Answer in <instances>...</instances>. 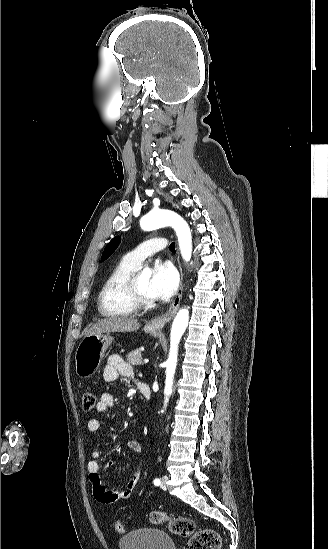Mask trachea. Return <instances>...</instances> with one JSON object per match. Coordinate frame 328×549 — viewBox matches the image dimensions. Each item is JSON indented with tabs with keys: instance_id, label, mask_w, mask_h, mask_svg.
<instances>
[{
	"instance_id": "trachea-1",
	"label": "trachea",
	"mask_w": 328,
	"mask_h": 549,
	"mask_svg": "<svg viewBox=\"0 0 328 549\" xmlns=\"http://www.w3.org/2000/svg\"><path fill=\"white\" fill-rule=\"evenodd\" d=\"M169 249L172 250V251H175V243L172 242L169 246Z\"/></svg>"
}]
</instances>
